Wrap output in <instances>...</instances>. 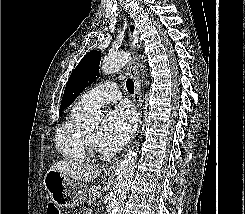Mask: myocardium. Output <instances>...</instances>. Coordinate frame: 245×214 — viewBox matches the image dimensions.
I'll use <instances>...</instances> for the list:
<instances>
[{
	"mask_svg": "<svg viewBox=\"0 0 245 214\" xmlns=\"http://www.w3.org/2000/svg\"><path fill=\"white\" fill-rule=\"evenodd\" d=\"M81 138H82V144L87 154L92 155L99 152L98 146L90 139L85 127H83L82 129Z\"/></svg>",
	"mask_w": 245,
	"mask_h": 214,
	"instance_id": "f54148a6",
	"label": "myocardium"
}]
</instances>
